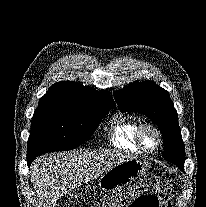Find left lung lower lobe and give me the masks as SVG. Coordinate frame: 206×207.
<instances>
[{"label": "left lung lower lobe", "mask_w": 206, "mask_h": 207, "mask_svg": "<svg viewBox=\"0 0 206 207\" xmlns=\"http://www.w3.org/2000/svg\"><path fill=\"white\" fill-rule=\"evenodd\" d=\"M182 171H184V168L183 167H179Z\"/></svg>", "instance_id": "left-lung-lower-lobe-1"}]
</instances>
